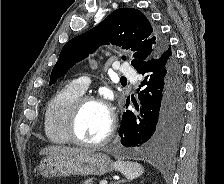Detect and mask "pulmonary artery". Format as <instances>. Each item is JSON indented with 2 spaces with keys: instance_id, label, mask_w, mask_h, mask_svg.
<instances>
[{
  "instance_id": "pulmonary-artery-1",
  "label": "pulmonary artery",
  "mask_w": 224,
  "mask_h": 184,
  "mask_svg": "<svg viewBox=\"0 0 224 184\" xmlns=\"http://www.w3.org/2000/svg\"><path fill=\"white\" fill-rule=\"evenodd\" d=\"M118 73L125 77H132L135 75V71L127 63H123L121 66H119ZM74 85L77 89L84 92L89 87L90 80L88 77L82 76L74 81Z\"/></svg>"
}]
</instances>
